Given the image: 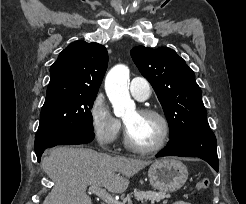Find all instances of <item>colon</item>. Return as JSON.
<instances>
[{
  "instance_id": "1",
  "label": "colon",
  "mask_w": 246,
  "mask_h": 204,
  "mask_svg": "<svg viewBox=\"0 0 246 204\" xmlns=\"http://www.w3.org/2000/svg\"><path fill=\"white\" fill-rule=\"evenodd\" d=\"M210 181L208 178H202L197 182V189L200 191L207 190L209 188Z\"/></svg>"
}]
</instances>
